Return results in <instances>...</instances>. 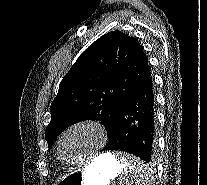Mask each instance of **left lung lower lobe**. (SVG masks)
Listing matches in <instances>:
<instances>
[{"instance_id":"left-lung-lower-lobe-1","label":"left lung lower lobe","mask_w":207,"mask_h":185,"mask_svg":"<svg viewBox=\"0 0 207 185\" xmlns=\"http://www.w3.org/2000/svg\"><path fill=\"white\" fill-rule=\"evenodd\" d=\"M153 80L150 75L120 107L103 151H124L150 162L156 133Z\"/></svg>"}]
</instances>
